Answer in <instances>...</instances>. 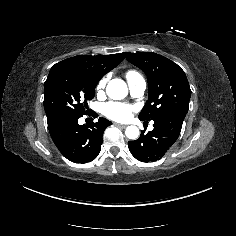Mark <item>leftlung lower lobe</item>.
<instances>
[{
	"mask_svg": "<svg viewBox=\"0 0 236 236\" xmlns=\"http://www.w3.org/2000/svg\"><path fill=\"white\" fill-rule=\"evenodd\" d=\"M185 116L179 112H171L153 120L152 131L146 134L142 131L139 139L128 142L132 155L142 162L161 159L178 139Z\"/></svg>",
	"mask_w": 236,
	"mask_h": 236,
	"instance_id": "0a47b994",
	"label": "left lung lower lobe"
}]
</instances>
